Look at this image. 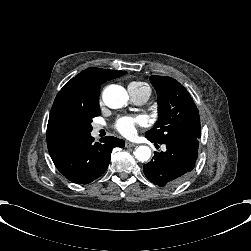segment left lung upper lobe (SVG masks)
<instances>
[{"label":"left lung upper lobe","instance_id":"1","mask_svg":"<svg viewBox=\"0 0 251 251\" xmlns=\"http://www.w3.org/2000/svg\"><path fill=\"white\" fill-rule=\"evenodd\" d=\"M150 81L158 95L159 120L146 137L157 143L198 140L199 111L188 91L168 76L152 75Z\"/></svg>","mask_w":251,"mask_h":251}]
</instances>
